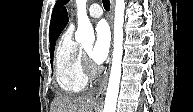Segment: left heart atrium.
Segmentation results:
<instances>
[{"label": "left heart atrium", "mask_w": 193, "mask_h": 112, "mask_svg": "<svg viewBox=\"0 0 193 112\" xmlns=\"http://www.w3.org/2000/svg\"><path fill=\"white\" fill-rule=\"evenodd\" d=\"M111 35L105 22H100L96 27V41L91 49V59L95 64L103 63L109 54Z\"/></svg>", "instance_id": "obj_1"}]
</instances>
